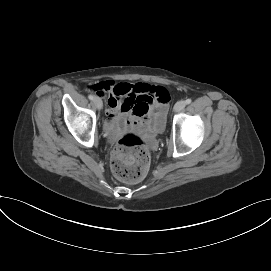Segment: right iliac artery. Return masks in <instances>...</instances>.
Instances as JSON below:
<instances>
[{"label": "right iliac artery", "mask_w": 271, "mask_h": 271, "mask_svg": "<svg viewBox=\"0 0 271 271\" xmlns=\"http://www.w3.org/2000/svg\"><path fill=\"white\" fill-rule=\"evenodd\" d=\"M88 98H89L90 100H94V96H93L92 94H90V95L88 96Z\"/></svg>", "instance_id": "1"}]
</instances>
